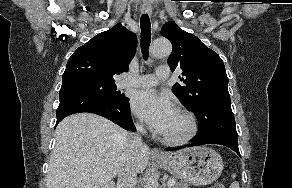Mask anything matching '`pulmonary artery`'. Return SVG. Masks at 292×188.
Segmentation results:
<instances>
[{
	"label": "pulmonary artery",
	"instance_id": "1",
	"mask_svg": "<svg viewBox=\"0 0 292 188\" xmlns=\"http://www.w3.org/2000/svg\"><path fill=\"white\" fill-rule=\"evenodd\" d=\"M170 77V70L167 66H160L156 69L155 74L140 76L126 75L119 83L121 88L141 87L147 88L155 86L160 80H166Z\"/></svg>",
	"mask_w": 292,
	"mask_h": 188
}]
</instances>
